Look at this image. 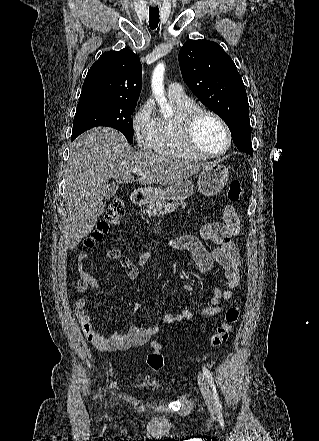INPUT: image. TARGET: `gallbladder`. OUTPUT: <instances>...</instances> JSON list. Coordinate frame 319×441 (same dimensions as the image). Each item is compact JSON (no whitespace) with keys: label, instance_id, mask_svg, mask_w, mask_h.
<instances>
[{"label":"gallbladder","instance_id":"gallbladder-1","mask_svg":"<svg viewBox=\"0 0 319 441\" xmlns=\"http://www.w3.org/2000/svg\"><path fill=\"white\" fill-rule=\"evenodd\" d=\"M117 189H118V184H116V183L107 184L106 189H105L104 198L105 199L112 198L114 196V194L116 193Z\"/></svg>","mask_w":319,"mask_h":441}]
</instances>
